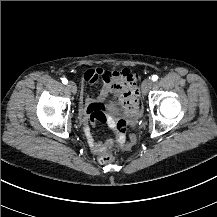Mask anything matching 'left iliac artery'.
<instances>
[{
  "label": "left iliac artery",
  "mask_w": 217,
  "mask_h": 217,
  "mask_svg": "<svg viewBox=\"0 0 217 217\" xmlns=\"http://www.w3.org/2000/svg\"><path fill=\"white\" fill-rule=\"evenodd\" d=\"M151 79H152V81H157L158 76L157 75H153Z\"/></svg>",
  "instance_id": "44dca946"
}]
</instances>
